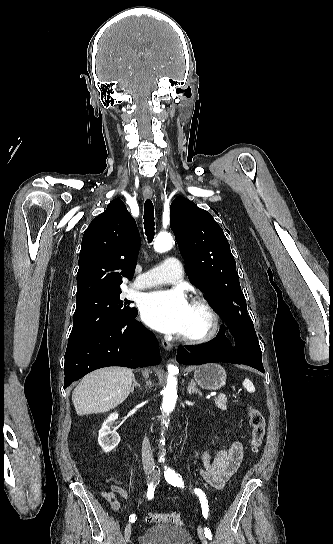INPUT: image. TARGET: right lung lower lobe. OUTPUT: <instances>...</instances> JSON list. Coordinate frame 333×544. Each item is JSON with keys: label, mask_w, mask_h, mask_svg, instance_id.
Listing matches in <instances>:
<instances>
[{"label": "right lung lower lobe", "mask_w": 333, "mask_h": 544, "mask_svg": "<svg viewBox=\"0 0 333 544\" xmlns=\"http://www.w3.org/2000/svg\"><path fill=\"white\" fill-rule=\"evenodd\" d=\"M137 314L136 310L120 323L68 342L64 388L102 367L137 368L161 362L157 340L136 320Z\"/></svg>", "instance_id": "98d812e1"}]
</instances>
